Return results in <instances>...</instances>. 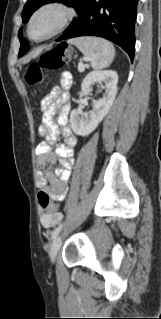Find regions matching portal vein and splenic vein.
I'll list each match as a JSON object with an SVG mask.
<instances>
[{
  "mask_svg": "<svg viewBox=\"0 0 161 319\" xmlns=\"http://www.w3.org/2000/svg\"><path fill=\"white\" fill-rule=\"evenodd\" d=\"M84 69H85L84 64H83V63H79V65H78V70H79L80 72H83Z\"/></svg>",
  "mask_w": 161,
  "mask_h": 319,
  "instance_id": "obj_1",
  "label": "portal vein and splenic vein"
}]
</instances>
